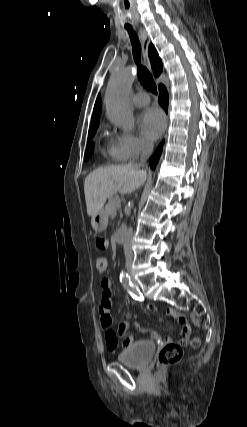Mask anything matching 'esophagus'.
<instances>
[{
  "mask_svg": "<svg viewBox=\"0 0 247 427\" xmlns=\"http://www.w3.org/2000/svg\"><path fill=\"white\" fill-rule=\"evenodd\" d=\"M139 33H140L141 42H142V50H143L144 63L148 67V69L151 70L150 60H149V56H148V49H149V45H150V38H149L147 32L142 27H139Z\"/></svg>",
  "mask_w": 247,
  "mask_h": 427,
  "instance_id": "obj_1",
  "label": "esophagus"
}]
</instances>
